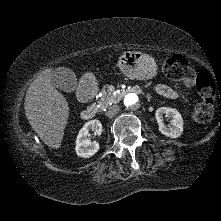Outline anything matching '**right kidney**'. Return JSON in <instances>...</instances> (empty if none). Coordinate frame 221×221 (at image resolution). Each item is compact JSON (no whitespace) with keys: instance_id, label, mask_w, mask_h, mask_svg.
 <instances>
[{"instance_id":"1","label":"right kidney","mask_w":221,"mask_h":221,"mask_svg":"<svg viewBox=\"0 0 221 221\" xmlns=\"http://www.w3.org/2000/svg\"><path fill=\"white\" fill-rule=\"evenodd\" d=\"M94 131L95 134L100 135L102 132V125L99 120H91L84 124L80 129L76 139V154L79 157L88 158L98 152L100 145L98 142H91L88 138L89 131Z\"/></svg>"}]
</instances>
